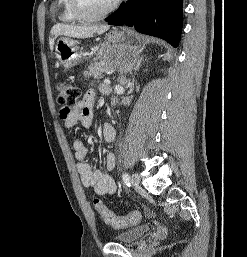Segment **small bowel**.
<instances>
[{
  "label": "small bowel",
  "mask_w": 247,
  "mask_h": 257,
  "mask_svg": "<svg viewBox=\"0 0 247 257\" xmlns=\"http://www.w3.org/2000/svg\"><path fill=\"white\" fill-rule=\"evenodd\" d=\"M100 85L99 90L102 92ZM95 101L94 90L86 92L84 97L69 109H62L60 116L67 129L74 127L80 123L83 127L89 128L93 120V105ZM102 137L105 143H111L115 139V129L110 123L102 126ZM75 158L77 160V171L80 175L81 182L85 187L92 188L98 195H112L116 192L117 186L113 177L101 170H93L85 161L88 155V147L81 140L73 143ZM115 165V156L109 153L106 157V168L112 170Z\"/></svg>",
  "instance_id": "obj_1"
}]
</instances>
